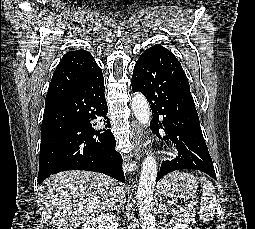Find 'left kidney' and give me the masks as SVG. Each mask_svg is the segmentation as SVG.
<instances>
[{
    "instance_id": "1",
    "label": "left kidney",
    "mask_w": 255,
    "mask_h": 229,
    "mask_svg": "<svg viewBox=\"0 0 255 229\" xmlns=\"http://www.w3.org/2000/svg\"><path fill=\"white\" fill-rule=\"evenodd\" d=\"M173 229H192V228H188V225L187 224H181V223H177L175 225V228Z\"/></svg>"
}]
</instances>
